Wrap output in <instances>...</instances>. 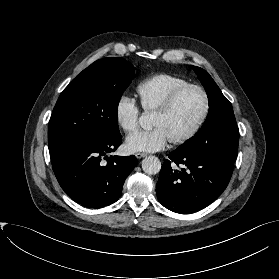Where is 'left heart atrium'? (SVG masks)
<instances>
[{
  "label": "left heart atrium",
  "instance_id": "left-heart-atrium-1",
  "mask_svg": "<svg viewBox=\"0 0 279 279\" xmlns=\"http://www.w3.org/2000/svg\"><path fill=\"white\" fill-rule=\"evenodd\" d=\"M169 141L161 128L154 127L130 135L126 140V148L130 152H156L164 149Z\"/></svg>",
  "mask_w": 279,
  "mask_h": 279
}]
</instances>
